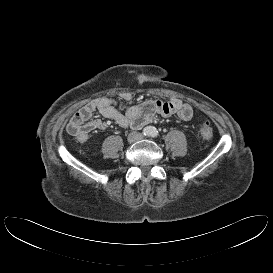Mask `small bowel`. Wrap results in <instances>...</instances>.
<instances>
[{
	"label": "small bowel",
	"mask_w": 273,
	"mask_h": 273,
	"mask_svg": "<svg viewBox=\"0 0 273 273\" xmlns=\"http://www.w3.org/2000/svg\"><path fill=\"white\" fill-rule=\"evenodd\" d=\"M126 104L131 103V95L124 94ZM119 103L111 98H97L81 107L70 119L67 130L78 141L85 142L94 130H104L106 122L93 117L98 111L102 116L112 119L123 128L138 129L150 123L155 115H177L181 120L188 121L193 116L192 107L180 99L147 100L140 104L130 105L125 113L118 110Z\"/></svg>",
	"instance_id": "small-bowel-1"
}]
</instances>
